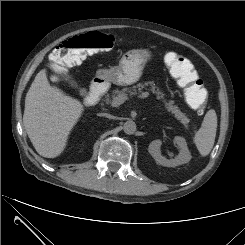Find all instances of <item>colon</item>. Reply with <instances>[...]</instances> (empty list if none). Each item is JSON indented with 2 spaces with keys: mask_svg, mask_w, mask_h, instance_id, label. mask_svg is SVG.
Returning <instances> with one entry per match:
<instances>
[{
  "mask_svg": "<svg viewBox=\"0 0 245 245\" xmlns=\"http://www.w3.org/2000/svg\"><path fill=\"white\" fill-rule=\"evenodd\" d=\"M114 44V37L103 32L94 31L75 36L53 50L50 64L57 73L64 74L68 67L81 63L89 55L109 50ZM167 64L173 76L184 86L187 103L202 114L208 101V92L202 80L185 74V58L182 56L170 54Z\"/></svg>",
  "mask_w": 245,
  "mask_h": 245,
  "instance_id": "obj_1",
  "label": "colon"
}]
</instances>
